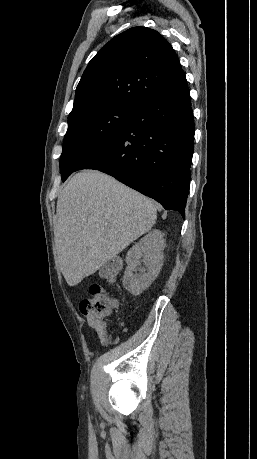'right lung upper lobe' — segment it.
I'll return each mask as SVG.
<instances>
[{
    "label": "right lung upper lobe",
    "instance_id": "cb5924a9",
    "mask_svg": "<svg viewBox=\"0 0 257 459\" xmlns=\"http://www.w3.org/2000/svg\"><path fill=\"white\" fill-rule=\"evenodd\" d=\"M183 76L175 51L162 35L133 27L111 39L89 62L68 122L105 107H137Z\"/></svg>",
    "mask_w": 257,
    "mask_h": 459
}]
</instances>
